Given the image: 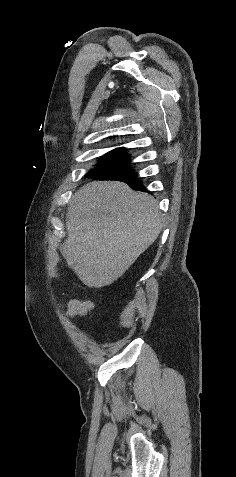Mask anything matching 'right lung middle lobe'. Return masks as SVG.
Returning <instances> with one entry per match:
<instances>
[{
  "instance_id": "right-lung-middle-lobe-1",
  "label": "right lung middle lobe",
  "mask_w": 236,
  "mask_h": 477,
  "mask_svg": "<svg viewBox=\"0 0 236 477\" xmlns=\"http://www.w3.org/2000/svg\"><path fill=\"white\" fill-rule=\"evenodd\" d=\"M98 168L95 170H90L85 177H90L96 180H99L101 178L110 176L114 173L119 172L122 169L127 168L126 165L123 164H117V163H112V162H107V161H100L99 164L97 165Z\"/></svg>"
}]
</instances>
